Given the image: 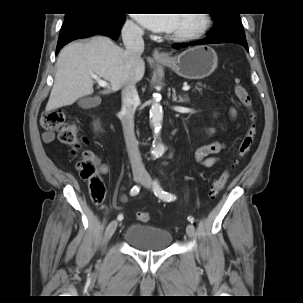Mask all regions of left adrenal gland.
Instances as JSON below:
<instances>
[{
  "label": "left adrenal gland",
  "mask_w": 303,
  "mask_h": 303,
  "mask_svg": "<svg viewBox=\"0 0 303 303\" xmlns=\"http://www.w3.org/2000/svg\"><path fill=\"white\" fill-rule=\"evenodd\" d=\"M172 98H173V101L182 103V102H186L188 100V95L184 94L182 96H179V99H177L175 89H173Z\"/></svg>",
  "instance_id": "a2214340"
}]
</instances>
